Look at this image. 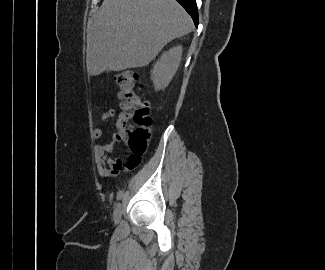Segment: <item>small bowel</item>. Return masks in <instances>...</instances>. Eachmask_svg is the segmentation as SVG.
Masks as SVG:
<instances>
[{"instance_id": "c3829d8e", "label": "small bowel", "mask_w": 325, "mask_h": 270, "mask_svg": "<svg viewBox=\"0 0 325 270\" xmlns=\"http://www.w3.org/2000/svg\"><path fill=\"white\" fill-rule=\"evenodd\" d=\"M115 116L114 110H109L106 113L102 115V121L103 122H109L112 120ZM102 130L100 128H95L92 132V137L95 141H100L102 139ZM118 143V141L114 138L109 143H98L94 147V153H95V165L98 174L101 177H107L110 174H117L119 173L124 167L126 169H133L130 168L127 165V161L124 162V160L120 157L117 158H110L108 154L112 153L115 149V145Z\"/></svg>"}]
</instances>
